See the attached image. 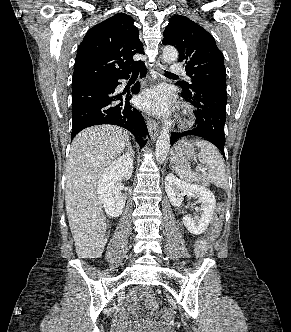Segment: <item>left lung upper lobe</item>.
<instances>
[{
    "label": "left lung upper lobe",
    "mask_w": 291,
    "mask_h": 332,
    "mask_svg": "<svg viewBox=\"0 0 291 332\" xmlns=\"http://www.w3.org/2000/svg\"><path fill=\"white\" fill-rule=\"evenodd\" d=\"M163 45H172L179 51V61L185 63L190 83L178 82L183 92H192L199 86L226 88V71L222 52L213 36L201 26L182 15L170 18L164 31Z\"/></svg>",
    "instance_id": "5c2ea615"
}]
</instances>
